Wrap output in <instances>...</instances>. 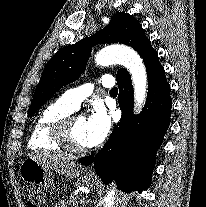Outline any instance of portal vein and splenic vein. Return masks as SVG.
<instances>
[{"mask_svg": "<svg viewBox=\"0 0 206 207\" xmlns=\"http://www.w3.org/2000/svg\"><path fill=\"white\" fill-rule=\"evenodd\" d=\"M80 202H81V203H84V202H85V198H82V199L80 200Z\"/></svg>", "mask_w": 206, "mask_h": 207, "instance_id": "obj_1", "label": "portal vein and splenic vein"}]
</instances>
